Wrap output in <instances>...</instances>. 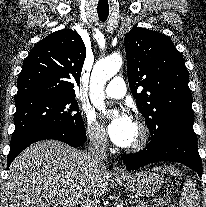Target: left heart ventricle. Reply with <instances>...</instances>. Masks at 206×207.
I'll return each instance as SVG.
<instances>
[{"label":"left heart ventricle","instance_id":"1","mask_svg":"<svg viewBox=\"0 0 206 207\" xmlns=\"http://www.w3.org/2000/svg\"><path fill=\"white\" fill-rule=\"evenodd\" d=\"M139 137V131H138V128L137 126L135 125V128H134V134H133V141L131 144H133Z\"/></svg>","mask_w":206,"mask_h":207}]
</instances>
